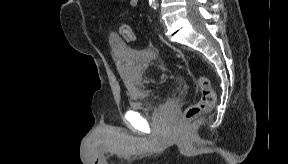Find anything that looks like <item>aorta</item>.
<instances>
[{
	"label": "aorta",
	"instance_id": "762f6f07",
	"mask_svg": "<svg viewBox=\"0 0 288 164\" xmlns=\"http://www.w3.org/2000/svg\"><path fill=\"white\" fill-rule=\"evenodd\" d=\"M151 6H152V8H157V6H158L157 0H151Z\"/></svg>",
	"mask_w": 288,
	"mask_h": 164
}]
</instances>
